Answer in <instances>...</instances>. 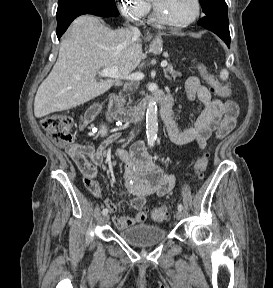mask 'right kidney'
<instances>
[{
    "label": "right kidney",
    "instance_id": "right-kidney-1",
    "mask_svg": "<svg viewBox=\"0 0 273 288\" xmlns=\"http://www.w3.org/2000/svg\"><path fill=\"white\" fill-rule=\"evenodd\" d=\"M102 136L106 135V127L102 126L100 132H99Z\"/></svg>",
    "mask_w": 273,
    "mask_h": 288
}]
</instances>
